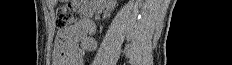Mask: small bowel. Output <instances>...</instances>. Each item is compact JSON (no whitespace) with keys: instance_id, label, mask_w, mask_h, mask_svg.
<instances>
[{"instance_id":"obj_1","label":"small bowel","mask_w":232,"mask_h":65,"mask_svg":"<svg viewBox=\"0 0 232 65\" xmlns=\"http://www.w3.org/2000/svg\"><path fill=\"white\" fill-rule=\"evenodd\" d=\"M89 31L84 21L59 31L57 38H63L68 65H83V54L96 48V42Z\"/></svg>"}]
</instances>
